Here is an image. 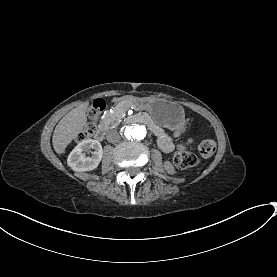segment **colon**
I'll return each instance as SVG.
<instances>
[{
    "instance_id": "5ec220e1",
    "label": "colon",
    "mask_w": 277,
    "mask_h": 277,
    "mask_svg": "<svg viewBox=\"0 0 277 277\" xmlns=\"http://www.w3.org/2000/svg\"><path fill=\"white\" fill-rule=\"evenodd\" d=\"M105 107L106 103L103 99H96L90 105L87 110V116L89 120L86 122V130L82 133L84 137H87L88 133L94 134L98 130V122L96 120H98L103 115ZM193 129L197 130L198 125L194 124ZM199 151L201 155L210 157L215 151V143L210 140L203 141L199 145ZM174 162L177 167L181 169H188L196 164L197 158L193 152L188 151L183 145H180L177 148Z\"/></svg>"
}]
</instances>
